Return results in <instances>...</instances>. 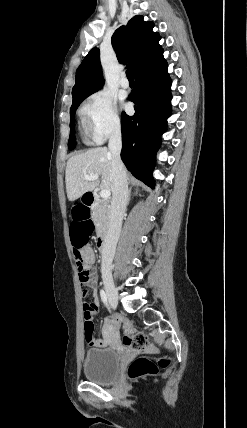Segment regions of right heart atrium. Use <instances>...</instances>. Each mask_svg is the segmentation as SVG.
I'll list each match as a JSON object with an SVG mask.
<instances>
[{
	"label": "right heart atrium",
	"mask_w": 247,
	"mask_h": 428,
	"mask_svg": "<svg viewBox=\"0 0 247 428\" xmlns=\"http://www.w3.org/2000/svg\"><path fill=\"white\" fill-rule=\"evenodd\" d=\"M85 114L89 122L92 138L103 142L120 131L121 120L114 98L107 92H97L85 104Z\"/></svg>",
	"instance_id": "1"
}]
</instances>
